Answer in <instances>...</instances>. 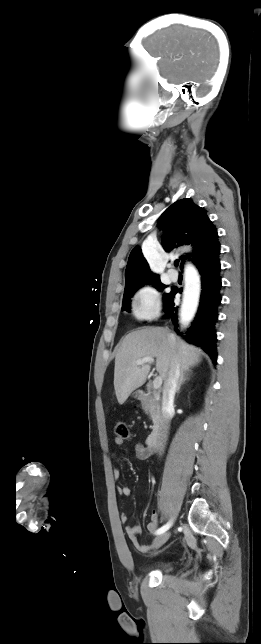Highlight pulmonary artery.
Here are the masks:
<instances>
[{
  "label": "pulmonary artery",
  "instance_id": "e3ab8cb5",
  "mask_svg": "<svg viewBox=\"0 0 261 644\" xmlns=\"http://www.w3.org/2000/svg\"><path fill=\"white\" fill-rule=\"evenodd\" d=\"M168 276L172 281H176L178 279V273L173 269L168 271Z\"/></svg>",
  "mask_w": 261,
  "mask_h": 644
}]
</instances>
